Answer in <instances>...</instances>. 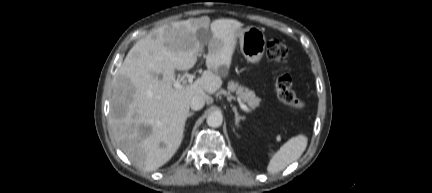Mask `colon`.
Here are the masks:
<instances>
[{
    "label": "colon",
    "instance_id": "obj_1",
    "mask_svg": "<svg viewBox=\"0 0 432 193\" xmlns=\"http://www.w3.org/2000/svg\"><path fill=\"white\" fill-rule=\"evenodd\" d=\"M268 58L276 63V92L278 99L284 105L301 110L305 107V102L297 97L292 90V78L287 71L288 49L278 39L273 38L267 44Z\"/></svg>",
    "mask_w": 432,
    "mask_h": 193
}]
</instances>
